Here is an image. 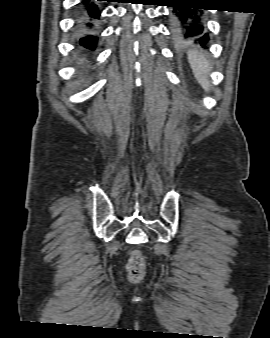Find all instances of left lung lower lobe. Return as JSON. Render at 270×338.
I'll return each mask as SVG.
<instances>
[{"label": "left lung lower lobe", "mask_w": 270, "mask_h": 338, "mask_svg": "<svg viewBox=\"0 0 270 338\" xmlns=\"http://www.w3.org/2000/svg\"><path fill=\"white\" fill-rule=\"evenodd\" d=\"M171 28L173 39L178 43L195 42L205 46L209 41L208 33L203 24V14L194 6L183 0H175Z\"/></svg>", "instance_id": "1"}]
</instances>
